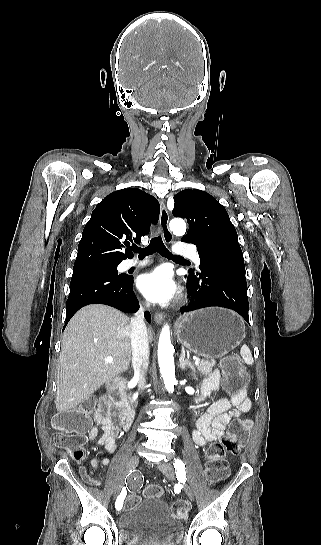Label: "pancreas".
<instances>
[{
	"instance_id": "obj_1",
	"label": "pancreas",
	"mask_w": 321,
	"mask_h": 545,
	"mask_svg": "<svg viewBox=\"0 0 321 545\" xmlns=\"http://www.w3.org/2000/svg\"><path fill=\"white\" fill-rule=\"evenodd\" d=\"M215 365V361H199V365H196V367L201 375H211L212 367H215Z\"/></svg>"
}]
</instances>
